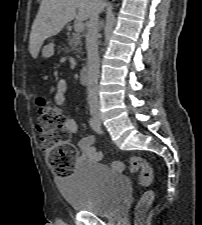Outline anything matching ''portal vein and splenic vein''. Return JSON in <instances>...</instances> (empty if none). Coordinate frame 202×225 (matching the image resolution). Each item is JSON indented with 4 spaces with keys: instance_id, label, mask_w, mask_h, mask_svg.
I'll list each match as a JSON object with an SVG mask.
<instances>
[{
    "instance_id": "18ae733b",
    "label": "portal vein and splenic vein",
    "mask_w": 202,
    "mask_h": 225,
    "mask_svg": "<svg viewBox=\"0 0 202 225\" xmlns=\"http://www.w3.org/2000/svg\"><path fill=\"white\" fill-rule=\"evenodd\" d=\"M85 29V24L82 21L76 22L74 25V30L76 32H81Z\"/></svg>"
}]
</instances>
